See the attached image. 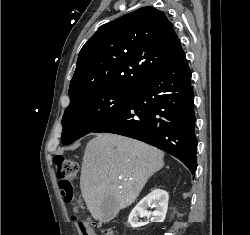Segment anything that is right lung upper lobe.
Returning a JSON list of instances; mask_svg holds the SVG:
<instances>
[{
	"label": "right lung upper lobe",
	"instance_id": "1",
	"mask_svg": "<svg viewBox=\"0 0 250 235\" xmlns=\"http://www.w3.org/2000/svg\"><path fill=\"white\" fill-rule=\"evenodd\" d=\"M179 43L172 23L154 7L102 25L79 53L70 101L96 90H134L169 63Z\"/></svg>",
	"mask_w": 250,
	"mask_h": 235
}]
</instances>
